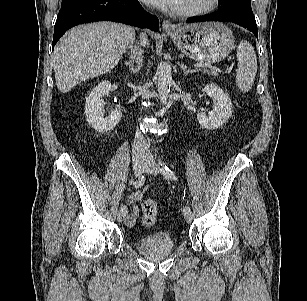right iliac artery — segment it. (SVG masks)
Here are the masks:
<instances>
[{"instance_id": "1", "label": "right iliac artery", "mask_w": 307, "mask_h": 301, "mask_svg": "<svg viewBox=\"0 0 307 301\" xmlns=\"http://www.w3.org/2000/svg\"><path fill=\"white\" fill-rule=\"evenodd\" d=\"M144 183V176L139 177V179H137L136 181L133 182V186L135 188H139L143 185ZM121 210L124 211L125 213H127V207L125 205L121 206Z\"/></svg>"}]
</instances>
